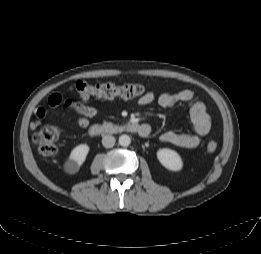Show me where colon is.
Returning <instances> with one entry per match:
<instances>
[{"mask_svg":"<svg viewBox=\"0 0 261 254\" xmlns=\"http://www.w3.org/2000/svg\"><path fill=\"white\" fill-rule=\"evenodd\" d=\"M73 92L82 99L90 97L134 99L145 94V88L141 84L131 83L116 85L113 83H88L78 81L72 86ZM61 103L59 96L52 95L49 104L57 106ZM59 129L55 126H42L34 133V142L38 146L39 153L44 158L52 157L57 150ZM206 150L213 153L217 150V144L213 141L206 145Z\"/></svg>","mask_w":261,"mask_h":254,"instance_id":"colon-1","label":"colon"}]
</instances>
